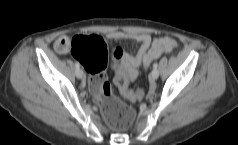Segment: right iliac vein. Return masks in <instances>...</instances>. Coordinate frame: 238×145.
I'll return each mask as SVG.
<instances>
[{"instance_id":"right-iliac-vein-1","label":"right iliac vein","mask_w":238,"mask_h":145,"mask_svg":"<svg viewBox=\"0 0 238 145\" xmlns=\"http://www.w3.org/2000/svg\"><path fill=\"white\" fill-rule=\"evenodd\" d=\"M75 74H76V77H77L78 79H81V78L83 77V71H82V69L77 68L76 71H75Z\"/></svg>"}]
</instances>
